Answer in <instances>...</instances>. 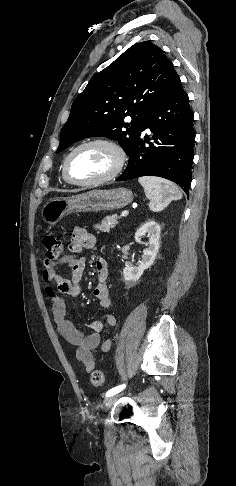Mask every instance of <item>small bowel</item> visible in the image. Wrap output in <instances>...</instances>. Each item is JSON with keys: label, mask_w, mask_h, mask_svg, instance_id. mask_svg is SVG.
<instances>
[{"label": "small bowel", "mask_w": 236, "mask_h": 486, "mask_svg": "<svg viewBox=\"0 0 236 486\" xmlns=\"http://www.w3.org/2000/svg\"><path fill=\"white\" fill-rule=\"evenodd\" d=\"M97 243V238L83 227H75L69 245L70 254L63 258L50 261L46 260L42 278L45 282V292L50 300L51 311L59 333L73 346L76 347V359L82 363L85 371L91 372L95 368V358L93 351L101 347L103 353H107L111 347V339L108 338L101 342V332L104 326L109 327L116 324V317L112 313L105 316V324L94 322L91 326L92 332L83 333L74 324L66 319V302L63 296L76 297L80 293L79 282L85 270L86 260L78 257L77 254L86 249H92ZM61 265H68L71 269V279H66L58 275L56 268ZM98 284L93 290V295L102 308L110 307L106 280L108 277V264L106 260L99 257L95 261ZM56 286V290L53 288Z\"/></svg>", "instance_id": "obj_1"}]
</instances>
